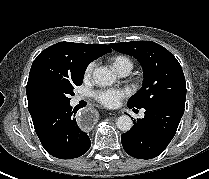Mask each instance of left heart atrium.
<instances>
[{"label": "left heart atrium", "instance_id": "39dd6f15", "mask_svg": "<svg viewBox=\"0 0 209 179\" xmlns=\"http://www.w3.org/2000/svg\"><path fill=\"white\" fill-rule=\"evenodd\" d=\"M128 93L129 91L125 89H105L95 92L94 97L103 106L114 108Z\"/></svg>", "mask_w": 209, "mask_h": 179}]
</instances>
